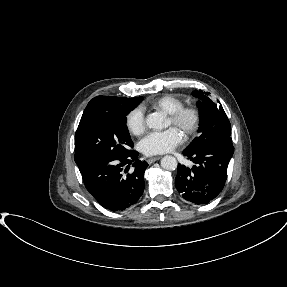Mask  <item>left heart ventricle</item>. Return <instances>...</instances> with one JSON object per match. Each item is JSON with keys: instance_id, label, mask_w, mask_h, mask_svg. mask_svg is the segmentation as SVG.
Segmentation results:
<instances>
[{"instance_id": "1", "label": "left heart ventricle", "mask_w": 287, "mask_h": 287, "mask_svg": "<svg viewBox=\"0 0 287 287\" xmlns=\"http://www.w3.org/2000/svg\"><path fill=\"white\" fill-rule=\"evenodd\" d=\"M174 125L172 123V121L170 120V118H168V126H172ZM185 125H186V122L183 124V125H174L181 133L184 134V129H185Z\"/></svg>"}]
</instances>
